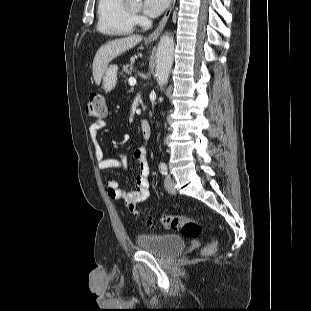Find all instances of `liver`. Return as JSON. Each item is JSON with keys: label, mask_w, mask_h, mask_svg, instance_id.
Segmentation results:
<instances>
[{"label": "liver", "mask_w": 311, "mask_h": 311, "mask_svg": "<svg viewBox=\"0 0 311 311\" xmlns=\"http://www.w3.org/2000/svg\"><path fill=\"white\" fill-rule=\"evenodd\" d=\"M142 39L143 37L141 35H131L115 39L101 46L94 57L92 66L95 83L100 85L104 71L113 59L133 48L140 43Z\"/></svg>", "instance_id": "obj_1"}]
</instances>
